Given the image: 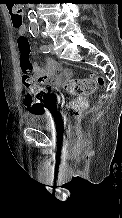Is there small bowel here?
Masks as SVG:
<instances>
[{"mask_svg": "<svg viewBox=\"0 0 122 218\" xmlns=\"http://www.w3.org/2000/svg\"><path fill=\"white\" fill-rule=\"evenodd\" d=\"M18 32L19 34H26V26L23 25L20 29H18ZM32 71L37 76L40 84L52 87L56 90L61 89L65 85L66 81L72 76L71 69L62 68L59 63L50 58L45 59L41 65L33 64Z\"/></svg>", "mask_w": 122, "mask_h": 218, "instance_id": "c3829d8e", "label": "small bowel"}]
</instances>
